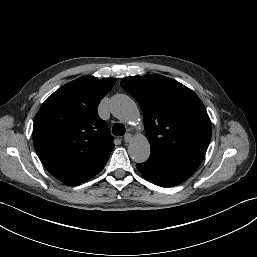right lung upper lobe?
<instances>
[{
	"label": "right lung upper lobe",
	"instance_id": "right-lung-upper-lobe-1",
	"mask_svg": "<svg viewBox=\"0 0 257 257\" xmlns=\"http://www.w3.org/2000/svg\"><path fill=\"white\" fill-rule=\"evenodd\" d=\"M115 82L114 78H78L55 91L39 109L33 144L43 165L61 182L80 184L108 161L114 144L97 107Z\"/></svg>",
	"mask_w": 257,
	"mask_h": 257
}]
</instances>
